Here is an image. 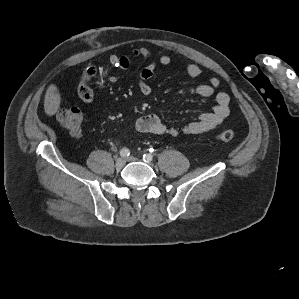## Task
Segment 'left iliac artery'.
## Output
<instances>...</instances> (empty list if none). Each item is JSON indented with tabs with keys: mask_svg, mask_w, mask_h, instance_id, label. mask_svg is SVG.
<instances>
[{
	"mask_svg": "<svg viewBox=\"0 0 299 299\" xmlns=\"http://www.w3.org/2000/svg\"><path fill=\"white\" fill-rule=\"evenodd\" d=\"M152 158H153V156H152L151 154H144V155H143V160H144L145 162L152 161Z\"/></svg>",
	"mask_w": 299,
	"mask_h": 299,
	"instance_id": "44dca946",
	"label": "left iliac artery"
}]
</instances>
